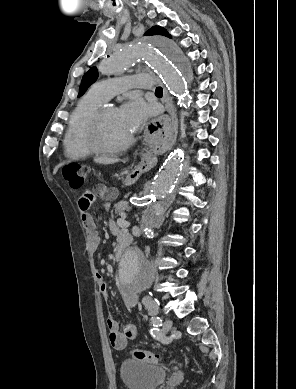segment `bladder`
I'll return each mask as SVG.
<instances>
[{
	"label": "bladder",
	"mask_w": 296,
	"mask_h": 389,
	"mask_svg": "<svg viewBox=\"0 0 296 389\" xmlns=\"http://www.w3.org/2000/svg\"><path fill=\"white\" fill-rule=\"evenodd\" d=\"M120 377L126 389H156L167 378L160 366L126 359L120 367Z\"/></svg>",
	"instance_id": "bladder-1"
}]
</instances>
